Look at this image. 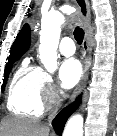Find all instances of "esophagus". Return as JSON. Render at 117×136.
Instances as JSON below:
<instances>
[{
  "label": "esophagus",
  "instance_id": "34e87169",
  "mask_svg": "<svg viewBox=\"0 0 117 136\" xmlns=\"http://www.w3.org/2000/svg\"><path fill=\"white\" fill-rule=\"evenodd\" d=\"M75 3L78 7L79 14L81 16V19L84 23V31L85 36L83 40V52L85 56V66H84V75L82 77L81 82L75 89L72 100H75V98L81 93L83 88L85 87L86 81L88 79V72L90 67V54H91V37H92V28L90 25V7L87 2V0H75Z\"/></svg>",
  "mask_w": 117,
  "mask_h": 136
}]
</instances>
